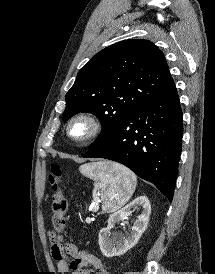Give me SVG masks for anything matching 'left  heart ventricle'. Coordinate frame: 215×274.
<instances>
[{"instance_id": "left-heart-ventricle-1", "label": "left heart ventricle", "mask_w": 215, "mask_h": 274, "mask_svg": "<svg viewBox=\"0 0 215 274\" xmlns=\"http://www.w3.org/2000/svg\"><path fill=\"white\" fill-rule=\"evenodd\" d=\"M71 132L72 135L75 137L82 136L86 132V126L82 123L75 124Z\"/></svg>"}]
</instances>
